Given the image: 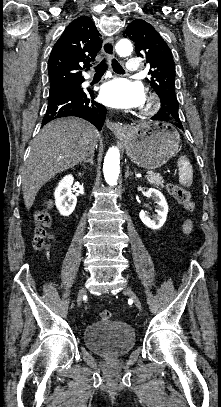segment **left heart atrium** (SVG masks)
Wrapping results in <instances>:
<instances>
[{"mask_svg": "<svg viewBox=\"0 0 221 407\" xmlns=\"http://www.w3.org/2000/svg\"><path fill=\"white\" fill-rule=\"evenodd\" d=\"M100 99L109 107L128 109L142 106L145 101V93L139 82L120 77L102 86Z\"/></svg>", "mask_w": 221, "mask_h": 407, "instance_id": "1", "label": "left heart atrium"}]
</instances>
